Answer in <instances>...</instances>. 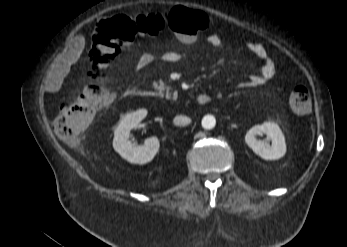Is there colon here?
I'll list each match as a JSON object with an SVG mask.
<instances>
[{
    "label": "colon",
    "instance_id": "obj_1",
    "mask_svg": "<svg viewBox=\"0 0 347 247\" xmlns=\"http://www.w3.org/2000/svg\"><path fill=\"white\" fill-rule=\"evenodd\" d=\"M205 13L185 7H174L166 13H150L139 16L117 14L99 22L93 36L91 58L95 68L109 67L124 46L139 35H158L167 27L178 34L182 41L192 42L197 34L208 26ZM112 101L108 89L98 78L89 83L76 101L62 104L58 110L55 129L63 139L81 135L91 125L97 111ZM289 103L298 113L311 108L309 90L298 85L292 90Z\"/></svg>",
    "mask_w": 347,
    "mask_h": 247
}]
</instances>
